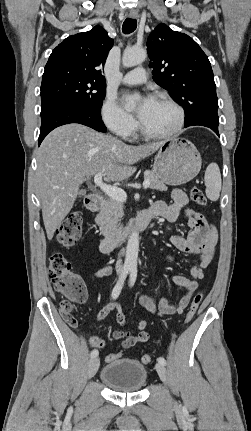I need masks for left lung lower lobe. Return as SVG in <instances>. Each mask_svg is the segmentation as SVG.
I'll return each mask as SVG.
<instances>
[{"label": "left lung lower lobe", "instance_id": "1", "mask_svg": "<svg viewBox=\"0 0 251 431\" xmlns=\"http://www.w3.org/2000/svg\"><path fill=\"white\" fill-rule=\"evenodd\" d=\"M194 125L209 127L219 136V132H218L219 120L200 119V120L191 122L189 124H185V127L194 126Z\"/></svg>", "mask_w": 251, "mask_h": 431}]
</instances>
